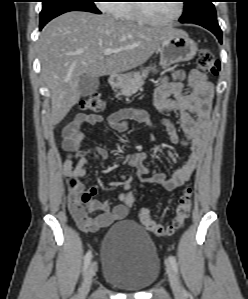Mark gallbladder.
<instances>
[{
    "label": "gallbladder",
    "instance_id": "1",
    "mask_svg": "<svg viewBox=\"0 0 248 299\" xmlns=\"http://www.w3.org/2000/svg\"><path fill=\"white\" fill-rule=\"evenodd\" d=\"M99 83L98 77L82 75L78 83V90L81 96L85 97L96 91L99 87Z\"/></svg>",
    "mask_w": 248,
    "mask_h": 299
}]
</instances>
